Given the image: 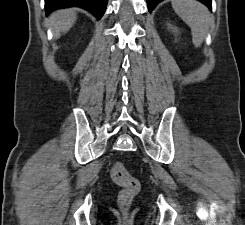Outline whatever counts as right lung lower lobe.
Wrapping results in <instances>:
<instances>
[{
  "label": "right lung lower lobe",
  "instance_id": "1",
  "mask_svg": "<svg viewBox=\"0 0 245 225\" xmlns=\"http://www.w3.org/2000/svg\"><path fill=\"white\" fill-rule=\"evenodd\" d=\"M107 6V0H45V11L49 14L53 10L67 7H81L100 19Z\"/></svg>",
  "mask_w": 245,
  "mask_h": 225
}]
</instances>
